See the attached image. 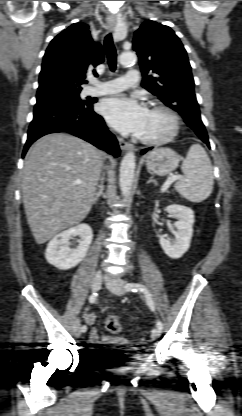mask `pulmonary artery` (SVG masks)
Here are the masks:
<instances>
[{"label":"pulmonary artery","mask_w":242,"mask_h":416,"mask_svg":"<svg viewBox=\"0 0 242 416\" xmlns=\"http://www.w3.org/2000/svg\"><path fill=\"white\" fill-rule=\"evenodd\" d=\"M139 72L136 69H129L125 76L114 78L103 82L100 86L96 85L89 90L92 96L110 95L119 93L129 87H134L138 84Z\"/></svg>","instance_id":"1"}]
</instances>
